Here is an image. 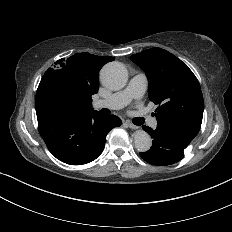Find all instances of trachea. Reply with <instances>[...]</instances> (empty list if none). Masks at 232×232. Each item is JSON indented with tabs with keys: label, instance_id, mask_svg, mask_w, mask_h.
Masks as SVG:
<instances>
[{
	"label": "trachea",
	"instance_id": "trachea-1",
	"mask_svg": "<svg viewBox=\"0 0 232 232\" xmlns=\"http://www.w3.org/2000/svg\"><path fill=\"white\" fill-rule=\"evenodd\" d=\"M145 120H146L145 118L137 117L133 119V123L139 126V125L144 124Z\"/></svg>",
	"mask_w": 232,
	"mask_h": 232
}]
</instances>
